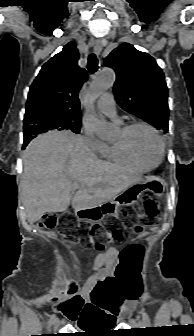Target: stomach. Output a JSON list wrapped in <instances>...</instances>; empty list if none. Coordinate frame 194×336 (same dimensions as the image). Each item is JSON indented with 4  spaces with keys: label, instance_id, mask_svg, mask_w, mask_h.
<instances>
[{
    "label": "stomach",
    "instance_id": "obj_1",
    "mask_svg": "<svg viewBox=\"0 0 194 336\" xmlns=\"http://www.w3.org/2000/svg\"><path fill=\"white\" fill-rule=\"evenodd\" d=\"M163 189L164 185L161 179L154 176H146L139 183L121 192L113 200L91 208L75 210V215L79 220L97 222L102 220L106 215H115L121 205L134 204L142 192L151 191L160 196Z\"/></svg>",
    "mask_w": 194,
    "mask_h": 336
}]
</instances>
